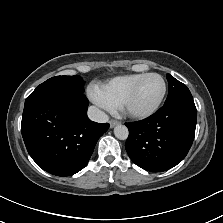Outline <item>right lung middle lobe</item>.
Returning a JSON list of instances; mask_svg holds the SVG:
<instances>
[{
    "instance_id": "1",
    "label": "right lung middle lobe",
    "mask_w": 223,
    "mask_h": 223,
    "mask_svg": "<svg viewBox=\"0 0 223 223\" xmlns=\"http://www.w3.org/2000/svg\"><path fill=\"white\" fill-rule=\"evenodd\" d=\"M83 93L84 81L80 76H56L38 85L37 88L26 98L25 104L61 95H83Z\"/></svg>"
}]
</instances>
